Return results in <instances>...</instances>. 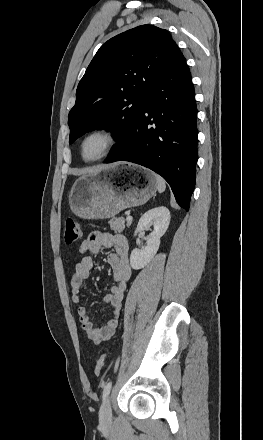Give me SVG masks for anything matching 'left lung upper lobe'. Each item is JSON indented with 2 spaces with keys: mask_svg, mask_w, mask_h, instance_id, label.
I'll return each instance as SVG.
<instances>
[{
  "mask_svg": "<svg viewBox=\"0 0 263 440\" xmlns=\"http://www.w3.org/2000/svg\"><path fill=\"white\" fill-rule=\"evenodd\" d=\"M175 45L167 30L153 25L138 26L104 43L77 87L68 118L69 143L88 131L106 129L118 141L111 154L126 147Z\"/></svg>",
  "mask_w": 263,
  "mask_h": 440,
  "instance_id": "5c2ea615",
  "label": "left lung upper lobe"
}]
</instances>
